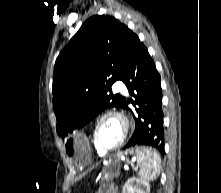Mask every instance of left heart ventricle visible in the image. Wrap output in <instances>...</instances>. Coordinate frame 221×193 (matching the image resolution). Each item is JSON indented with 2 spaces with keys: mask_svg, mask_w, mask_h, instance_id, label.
Wrapping results in <instances>:
<instances>
[{
  "mask_svg": "<svg viewBox=\"0 0 221 193\" xmlns=\"http://www.w3.org/2000/svg\"><path fill=\"white\" fill-rule=\"evenodd\" d=\"M121 133V124L115 118H106L98 128V141L104 147H112L119 141Z\"/></svg>",
  "mask_w": 221,
  "mask_h": 193,
  "instance_id": "obj_1",
  "label": "left heart ventricle"
}]
</instances>
